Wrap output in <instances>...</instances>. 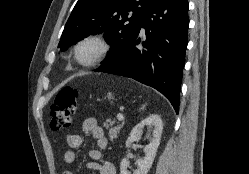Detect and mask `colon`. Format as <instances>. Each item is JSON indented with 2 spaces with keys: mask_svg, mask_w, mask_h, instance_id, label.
Segmentation results:
<instances>
[{
  "mask_svg": "<svg viewBox=\"0 0 249 174\" xmlns=\"http://www.w3.org/2000/svg\"><path fill=\"white\" fill-rule=\"evenodd\" d=\"M78 96V90L73 87H64L58 92L50 111V126L53 130H63L71 125Z\"/></svg>",
  "mask_w": 249,
  "mask_h": 174,
  "instance_id": "5ec220e1",
  "label": "colon"
}]
</instances>
